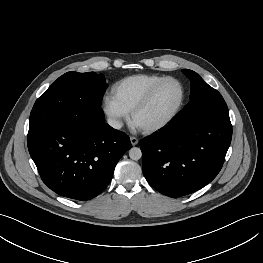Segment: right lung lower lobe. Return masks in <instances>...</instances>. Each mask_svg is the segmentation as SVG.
<instances>
[{
  "instance_id": "98d812e1",
  "label": "right lung lower lobe",
  "mask_w": 263,
  "mask_h": 263,
  "mask_svg": "<svg viewBox=\"0 0 263 263\" xmlns=\"http://www.w3.org/2000/svg\"><path fill=\"white\" fill-rule=\"evenodd\" d=\"M104 122L102 109L93 108L28 136L29 153L51 190L84 201L107 187L131 142L125 133Z\"/></svg>"
}]
</instances>
